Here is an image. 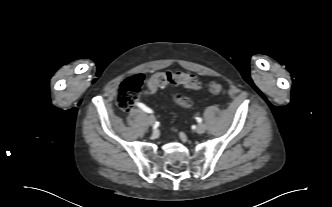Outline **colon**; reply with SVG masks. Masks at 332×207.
Returning a JSON list of instances; mask_svg holds the SVG:
<instances>
[{
  "instance_id": "colon-1",
  "label": "colon",
  "mask_w": 332,
  "mask_h": 207,
  "mask_svg": "<svg viewBox=\"0 0 332 207\" xmlns=\"http://www.w3.org/2000/svg\"><path fill=\"white\" fill-rule=\"evenodd\" d=\"M143 82V75L136 74L125 79L120 84L116 102L121 110H131L141 95L154 93L168 85H181L195 90L201 87V83L195 75L180 71H163L154 74L147 83V89L142 88ZM208 88L210 93L216 95L226 92L225 86L219 82H211ZM174 101L182 107H190L192 105L191 99L181 93L175 95Z\"/></svg>"
}]
</instances>
